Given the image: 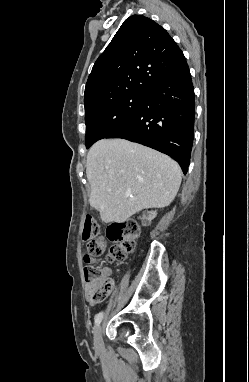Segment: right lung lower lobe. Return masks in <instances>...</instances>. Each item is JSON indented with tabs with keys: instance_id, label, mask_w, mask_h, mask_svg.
Segmentation results:
<instances>
[{
	"instance_id": "1",
	"label": "right lung lower lobe",
	"mask_w": 249,
	"mask_h": 382,
	"mask_svg": "<svg viewBox=\"0 0 249 382\" xmlns=\"http://www.w3.org/2000/svg\"><path fill=\"white\" fill-rule=\"evenodd\" d=\"M194 88L187 63L147 92L141 109L107 138L136 142L175 159L186 174L194 137Z\"/></svg>"
}]
</instances>
